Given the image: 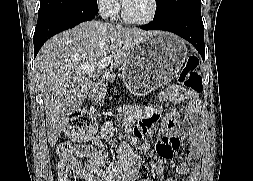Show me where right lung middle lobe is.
Returning a JSON list of instances; mask_svg holds the SVG:
<instances>
[{"instance_id":"1","label":"right lung middle lobe","mask_w":253,"mask_h":181,"mask_svg":"<svg viewBox=\"0 0 253 181\" xmlns=\"http://www.w3.org/2000/svg\"><path fill=\"white\" fill-rule=\"evenodd\" d=\"M74 5H83L91 9H98L97 0H41L38 15Z\"/></svg>"}]
</instances>
